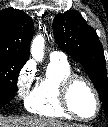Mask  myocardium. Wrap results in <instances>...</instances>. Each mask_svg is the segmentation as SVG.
I'll return each instance as SVG.
<instances>
[{"label": "myocardium", "instance_id": "1", "mask_svg": "<svg viewBox=\"0 0 108 127\" xmlns=\"http://www.w3.org/2000/svg\"><path fill=\"white\" fill-rule=\"evenodd\" d=\"M78 82H82L83 84H85L92 91L94 98H95V102H96L95 111L89 117L81 116L79 113L75 111V109L73 108L71 104V91L73 87L75 86V84ZM60 101H61L63 108L72 117H75L83 121H89V120L94 119L99 113L100 106H101L98 90L95 87V85L92 83V81L83 75L74 74V73L70 74L62 81L61 86H60Z\"/></svg>", "mask_w": 108, "mask_h": 127}]
</instances>
